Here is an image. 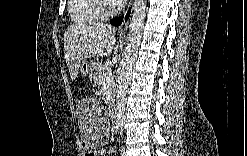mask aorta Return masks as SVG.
I'll list each match as a JSON object with an SVG mask.
<instances>
[{"label": "aorta", "mask_w": 247, "mask_h": 156, "mask_svg": "<svg viewBox=\"0 0 247 156\" xmlns=\"http://www.w3.org/2000/svg\"><path fill=\"white\" fill-rule=\"evenodd\" d=\"M146 4V0H135L133 3V15L129 25L128 43L121 63L122 68L118 78L116 95L115 120L119 126H123L124 124L127 92L131 81L132 68L137 59L138 47L144 29Z\"/></svg>", "instance_id": "762f6f07"}]
</instances>
